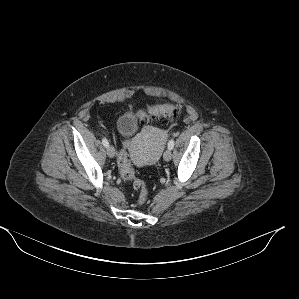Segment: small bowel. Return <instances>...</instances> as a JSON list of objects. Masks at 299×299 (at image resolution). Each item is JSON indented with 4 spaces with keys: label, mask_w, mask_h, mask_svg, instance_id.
<instances>
[{
    "label": "small bowel",
    "mask_w": 299,
    "mask_h": 299,
    "mask_svg": "<svg viewBox=\"0 0 299 299\" xmlns=\"http://www.w3.org/2000/svg\"><path fill=\"white\" fill-rule=\"evenodd\" d=\"M122 152H125V149H122L121 153H122Z\"/></svg>",
    "instance_id": "1"
}]
</instances>
